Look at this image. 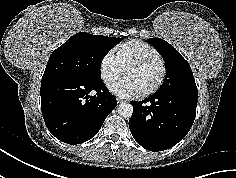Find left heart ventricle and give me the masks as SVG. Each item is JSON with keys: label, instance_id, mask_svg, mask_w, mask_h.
<instances>
[{"label": "left heart ventricle", "instance_id": "1", "mask_svg": "<svg viewBox=\"0 0 236 178\" xmlns=\"http://www.w3.org/2000/svg\"><path fill=\"white\" fill-rule=\"evenodd\" d=\"M160 72V66L158 64H152L147 67L130 69L125 74V78L131 80L141 93L157 82Z\"/></svg>", "mask_w": 236, "mask_h": 178}]
</instances>
